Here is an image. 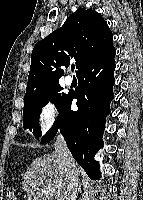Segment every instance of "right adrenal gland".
I'll return each instance as SVG.
<instances>
[{
    "instance_id": "1",
    "label": "right adrenal gland",
    "mask_w": 143,
    "mask_h": 200,
    "mask_svg": "<svg viewBox=\"0 0 143 200\" xmlns=\"http://www.w3.org/2000/svg\"><path fill=\"white\" fill-rule=\"evenodd\" d=\"M81 183H79L78 192L81 193Z\"/></svg>"
}]
</instances>
